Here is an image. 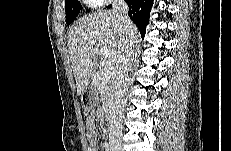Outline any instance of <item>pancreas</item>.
<instances>
[{
	"label": "pancreas",
	"mask_w": 231,
	"mask_h": 151,
	"mask_svg": "<svg viewBox=\"0 0 231 151\" xmlns=\"http://www.w3.org/2000/svg\"><path fill=\"white\" fill-rule=\"evenodd\" d=\"M95 86L99 90L103 105L109 106L113 99V74L100 70L95 78Z\"/></svg>",
	"instance_id": "obj_1"
}]
</instances>
